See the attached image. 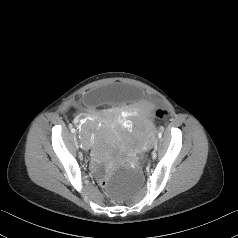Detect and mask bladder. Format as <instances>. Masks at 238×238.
Listing matches in <instances>:
<instances>
[{"mask_svg":"<svg viewBox=\"0 0 238 238\" xmlns=\"http://www.w3.org/2000/svg\"><path fill=\"white\" fill-rule=\"evenodd\" d=\"M142 93L139 89L129 85H111L103 86L94 91H90L85 96L87 105L94 107L96 105L106 104L113 107H122L124 105L137 103L141 100Z\"/></svg>","mask_w":238,"mask_h":238,"instance_id":"obj_1","label":"bladder"}]
</instances>
